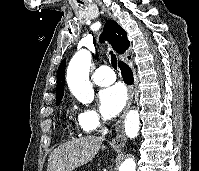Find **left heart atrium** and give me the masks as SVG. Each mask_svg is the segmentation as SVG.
Masks as SVG:
<instances>
[{
	"instance_id": "left-heart-atrium-1",
	"label": "left heart atrium",
	"mask_w": 199,
	"mask_h": 171,
	"mask_svg": "<svg viewBox=\"0 0 199 171\" xmlns=\"http://www.w3.org/2000/svg\"><path fill=\"white\" fill-rule=\"evenodd\" d=\"M100 108L108 117H115L124 107L126 92L121 84H115L103 89L99 94Z\"/></svg>"
}]
</instances>
